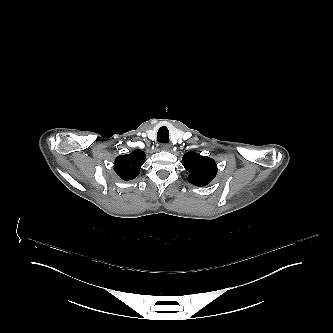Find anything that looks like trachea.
<instances>
[{"label":"trachea","instance_id":"3493384b","mask_svg":"<svg viewBox=\"0 0 333 333\" xmlns=\"http://www.w3.org/2000/svg\"><path fill=\"white\" fill-rule=\"evenodd\" d=\"M157 140L161 144L169 143V131L167 127H161L157 133Z\"/></svg>","mask_w":333,"mask_h":333}]
</instances>
